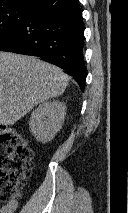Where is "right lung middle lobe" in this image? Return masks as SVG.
<instances>
[{
    "mask_svg": "<svg viewBox=\"0 0 128 213\" xmlns=\"http://www.w3.org/2000/svg\"><path fill=\"white\" fill-rule=\"evenodd\" d=\"M31 9L13 5L0 7V41L22 24Z\"/></svg>",
    "mask_w": 128,
    "mask_h": 213,
    "instance_id": "1",
    "label": "right lung middle lobe"
}]
</instances>
